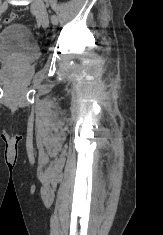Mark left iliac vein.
<instances>
[{"instance_id":"1","label":"left iliac vein","mask_w":163,"mask_h":235,"mask_svg":"<svg viewBox=\"0 0 163 235\" xmlns=\"http://www.w3.org/2000/svg\"><path fill=\"white\" fill-rule=\"evenodd\" d=\"M33 6L37 11L39 22L44 29L49 26V16L43 0H33Z\"/></svg>"}]
</instances>
